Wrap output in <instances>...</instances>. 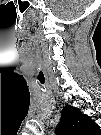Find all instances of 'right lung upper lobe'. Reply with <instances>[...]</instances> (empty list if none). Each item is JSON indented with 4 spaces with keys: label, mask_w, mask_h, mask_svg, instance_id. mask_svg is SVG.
Here are the masks:
<instances>
[{
    "label": "right lung upper lobe",
    "mask_w": 101,
    "mask_h": 135,
    "mask_svg": "<svg viewBox=\"0 0 101 135\" xmlns=\"http://www.w3.org/2000/svg\"><path fill=\"white\" fill-rule=\"evenodd\" d=\"M98 132L96 123L70 105L63 108L60 123L55 129L58 135H97Z\"/></svg>",
    "instance_id": "right-lung-upper-lobe-1"
}]
</instances>
